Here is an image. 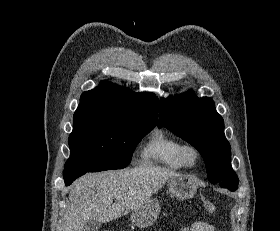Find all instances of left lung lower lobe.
I'll use <instances>...</instances> for the list:
<instances>
[{
  "label": "left lung lower lobe",
  "instance_id": "1",
  "mask_svg": "<svg viewBox=\"0 0 280 231\" xmlns=\"http://www.w3.org/2000/svg\"><path fill=\"white\" fill-rule=\"evenodd\" d=\"M218 184L223 188L229 189L230 191H235L238 188V177Z\"/></svg>",
  "mask_w": 280,
  "mask_h": 231
}]
</instances>
